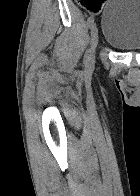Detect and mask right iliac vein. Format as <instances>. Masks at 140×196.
Instances as JSON below:
<instances>
[{
  "label": "right iliac vein",
  "mask_w": 140,
  "mask_h": 196,
  "mask_svg": "<svg viewBox=\"0 0 140 196\" xmlns=\"http://www.w3.org/2000/svg\"><path fill=\"white\" fill-rule=\"evenodd\" d=\"M99 41V34L96 24H92L91 26V47L89 50V54L86 55V65L89 66L94 61V52L97 49Z\"/></svg>",
  "instance_id": "1"
}]
</instances>
